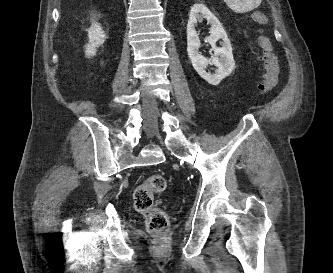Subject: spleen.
Wrapping results in <instances>:
<instances>
[{"label": "spleen", "mask_w": 333, "mask_h": 273, "mask_svg": "<svg viewBox=\"0 0 333 273\" xmlns=\"http://www.w3.org/2000/svg\"><path fill=\"white\" fill-rule=\"evenodd\" d=\"M262 0H224V2L236 13H246L254 10Z\"/></svg>", "instance_id": "3e777b00"}]
</instances>
